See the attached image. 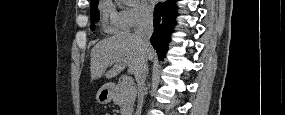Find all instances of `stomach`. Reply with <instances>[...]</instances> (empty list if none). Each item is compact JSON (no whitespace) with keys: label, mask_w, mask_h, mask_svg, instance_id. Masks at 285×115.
<instances>
[{"label":"stomach","mask_w":285,"mask_h":115,"mask_svg":"<svg viewBox=\"0 0 285 115\" xmlns=\"http://www.w3.org/2000/svg\"><path fill=\"white\" fill-rule=\"evenodd\" d=\"M113 94L114 87L110 84H106L98 90L96 100L99 104H108L111 102Z\"/></svg>","instance_id":"1"}]
</instances>
